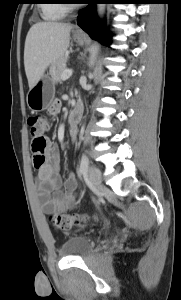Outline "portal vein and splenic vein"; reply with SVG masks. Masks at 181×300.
Listing matches in <instances>:
<instances>
[{
    "label": "portal vein and splenic vein",
    "mask_w": 181,
    "mask_h": 300,
    "mask_svg": "<svg viewBox=\"0 0 181 300\" xmlns=\"http://www.w3.org/2000/svg\"><path fill=\"white\" fill-rule=\"evenodd\" d=\"M73 73L72 69H66L62 74V79L66 80L68 79Z\"/></svg>",
    "instance_id": "portal-vein-and-splenic-vein-1"
}]
</instances>
